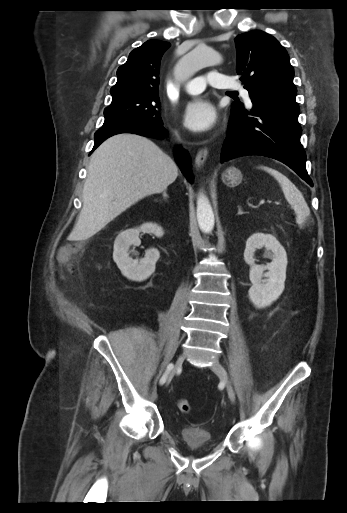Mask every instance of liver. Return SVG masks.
Here are the masks:
<instances>
[{"label":"liver","instance_id":"6515ba94","mask_svg":"<svg viewBox=\"0 0 347 513\" xmlns=\"http://www.w3.org/2000/svg\"><path fill=\"white\" fill-rule=\"evenodd\" d=\"M178 169L153 141L120 133L92 154L83 188V207L70 236L86 240L127 208L173 183Z\"/></svg>","mask_w":347,"mask_h":513}]
</instances>
